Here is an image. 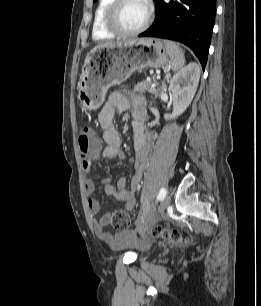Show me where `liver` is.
Masks as SVG:
<instances>
[{
    "mask_svg": "<svg viewBox=\"0 0 261 306\" xmlns=\"http://www.w3.org/2000/svg\"><path fill=\"white\" fill-rule=\"evenodd\" d=\"M113 44H117V43H103V44H101L99 46H108V45H113Z\"/></svg>",
    "mask_w": 261,
    "mask_h": 306,
    "instance_id": "6515ba94",
    "label": "liver"
}]
</instances>
